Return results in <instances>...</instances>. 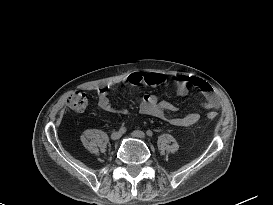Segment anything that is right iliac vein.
<instances>
[{
  "instance_id": "obj_1",
  "label": "right iliac vein",
  "mask_w": 273,
  "mask_h": 205,
  "mask_svg": "<svg viewBox=\"0 0 273 205\" xmlns=\"http://www.w3.org/2000/svg\"><path fill=\"white\" fill-rule=\"evenodd\" d=\"M121 136H122V133H121V132L115 131V132H113V133L111 134V139H112L113 141H116V140H118Z\"/></svg>"
}]
</instances>
